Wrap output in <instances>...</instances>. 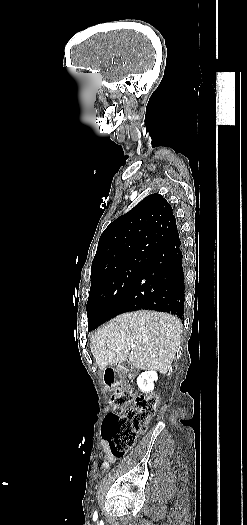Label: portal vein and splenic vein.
<instances>
[{
  "label": "portal vein and splenic vein",
  "mask_w": 247,
  "mask_h": 525,
  "mask_svg": "<svg viewBox=\"0 0 247 525\" xmlns=\"http://www.w3.org/2000/svg\"><path fill=\"white\" fill-rule=\"evenodd\" d=\"M133 346H134V343H130V348H133Z\"/></svg>",
  "instance_id": "obj_1"
}]
</instances>
